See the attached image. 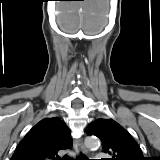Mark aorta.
<instances>
[{"label": "aorta", "mask_w": 160, "mask_h": 160, "mask_svg": "<svg viewBox=\"0 0 160 160\" xmlns=\"http://www.w3.org/2000/svg\"><path fill=\"white\" fill-rule=\"evenodd\" d=\"M85 145L88 147V148H98L99 145H100V141L98 138L96 137H88L86 138L85 140Z\"/></svg>", "instance_id": "762f6f07"}]
</instances>
